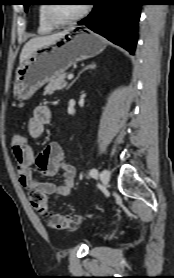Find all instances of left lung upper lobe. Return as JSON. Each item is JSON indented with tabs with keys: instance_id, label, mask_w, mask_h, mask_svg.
<instances>
[{
	"instance_id": "left-lung-upper-lobe-1",
	"label": "left lung upper lobe",
	"mask_w": 174,
	"mask_h": 278,
	"mask_svg": "<svg viewBox=\"0 0 174 278\" xmlns=\"http://www.w3.org/2000/svg\"><path fill=\"white\" fill-rule=\"evenodd\" d=\"M31 1H32V0H24L23 5L25 6V10H26V11H27V9H28V6L31 5Z\"/></svg>"
}]
</instances>
